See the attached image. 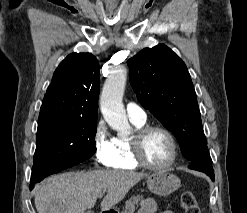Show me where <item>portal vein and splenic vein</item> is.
I'll list each match as a JSON object with an SVG mask.
<instances>
[{
	"label": "portal vein and splenic vein",
	"instance_id": "portal-vein-and-splenic-vein-1",
	"mask_svg": "<svg viewBox=\"0 0 247 213\" xmlns=\"http://www.w3.org/2000/svg\"><path fill=\"white\" fill-rule=\"evenodd\" d=\"M103 195H104V192H103V193H100V194L98 195V197H99V198H102Z\"/></svg>",
	"mask_w": 247,
	"mask_h": 213
}]
</instances>
